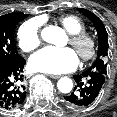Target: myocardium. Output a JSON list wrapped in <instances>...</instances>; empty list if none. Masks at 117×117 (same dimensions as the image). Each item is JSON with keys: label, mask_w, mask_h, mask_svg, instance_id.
<instances>
[{"label": "myocardium", "mask_w": 117, "mask_h": 117, "mask_svg": "<svg viewBox=\"0 0 117 117\" xmlns=\"http://www.w3.org/2000/svg\"><path fill=\"white\" fill-rule=\"evenodd\" d=\"M70 44L75 48L83 61L93 59L97 53V40L87 33L81 32L70 35Z\"/></svg>", "instance_id": "myocardium-1"}]
</instances>
